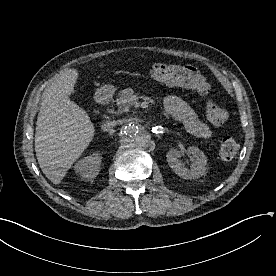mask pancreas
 Instances as JSON below:
<instances>
[{
  "instance_id": "1",
  "label": "pancreas",
  "mask_w": 276,
  "mask_h": 276,
  "mask_svg": "<svg viewBox=\"0 0 276 276\" xmlns=\"http://www.w3.org/2000/svg\"><path fill=\"white\" fill-rule=\"evenodd\" d=\"M134 96V91L131 88H126L118 93L116 103L118 106V112L127 111L130 105H132L131 98Z\"/></svg>"
}]
</instances>
